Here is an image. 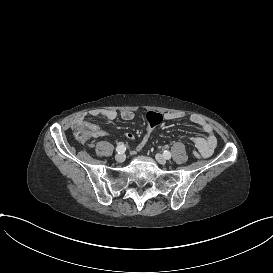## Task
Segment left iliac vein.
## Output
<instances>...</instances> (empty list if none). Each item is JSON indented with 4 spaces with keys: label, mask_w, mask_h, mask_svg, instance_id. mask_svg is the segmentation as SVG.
I'll list each match as a JSON object with an SVG mask.
<instances>
[{
    "label": "left iliac vein",
    "mask_w": 273,
    "mask_h": 273,
    "mask_svg": "<svg viewBox=\"0 0 273 273\" xmlns=\"http://www.w3.org/2000/svg\"><path fill=\"white\" fill-rule=\"evenodd\" d=\"M155 158H156L157 161H158L160 164H162V165H165L166 162H167L166 158H165L163 155L159 154V153L156 154Z\"/></svg>",
    "instance_id": "left-iliac-vein-1"
}]
</instances>
